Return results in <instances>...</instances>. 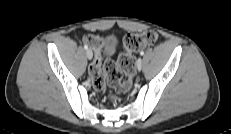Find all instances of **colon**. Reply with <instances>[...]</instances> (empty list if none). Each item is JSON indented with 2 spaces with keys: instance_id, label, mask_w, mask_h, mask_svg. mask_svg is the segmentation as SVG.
Returning a JSON list of instances; mask_svg holds the SVG:
<instances>
[{
  "instance_id": "colon-1",
  "label": "colon",
  "mask_w": 231,
  "mask_h": 134,
  "mask_svg": "<svg viewBox=\"0 0 231 134\" xmlns=\"http://www.w3.org/2000/svg\"><path fill=\"white\" fill-rule=\"evenodd\" d=\"M84 40L95 50L100 48L101 39L98 36L87 34ZM157 40L158 34L153 30L129 33L124 38L126 52L121 54L116 61L109 59L102 65L97 56L89 67V77L93 87L98 91H105L107 87L112 88L109 99L115 104L118 101V94L128 91L132 85L135 73L133 53L154 44ZM123 73L126 75L125 80H123Z\"/></svg>"
}]
</instances>
